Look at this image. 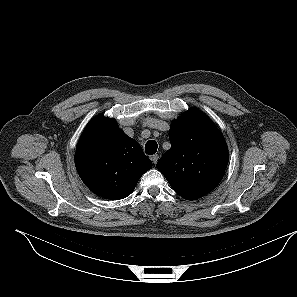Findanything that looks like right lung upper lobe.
Wrapping results in <instances>:
<instances>
[{
	"instance_id": "1",
	"label": "right lung upper lobe",
	"mask_w": 297,
	"mask_h": 297,
	"mask_svg": "<svg viewBox=\"0 0 297 297\" xmlns=\"http://www.w3.org/2000/svg\"><path fill=\"white\" fill-rule=\"evenodd\" d=\"M76 169L96 195L118 200L131 194L140 177L152 167L134 139L113 119L97 116L86 126L75 154Z\"/></svg>"
}]
</instances>
